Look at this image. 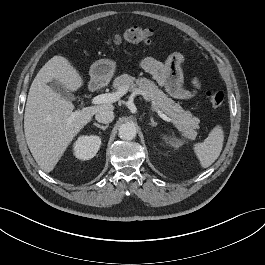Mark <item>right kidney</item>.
<instances>
[{"label": "right kidney", "mask_w": 265, "mask_h": 265, "mask_svg": "<svg viewBox=\"0 0 265 265\" xmlns=\"http://www.w3.org/2000/svg\"><path fill=\"white\" fill-rule=\"evenodd\" d=\"M101 138L96 135L80 136L74 143V155L80 160H89L98 152Z\"/></svg>", "instance_id": "1"}]
</instances>
